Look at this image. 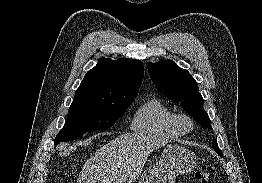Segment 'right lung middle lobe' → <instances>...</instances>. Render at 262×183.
<instances>
[{"label": "right lung middle lobe", "mask_w": 262, "mask_h": 183, "mask_svg": "<svg viewBox=\"0 0 262 183\" xmlns=\"http://www.w3.org/2000/svg\"><path fill=\"white\" fill-rule=\"evenodd\" d=\"M133 101L134 99L74 97L65 125L55 138V145L72 141L88 131L110 128Z\"/></svg>", "instance_id": "obj_1"}]
</instances>
